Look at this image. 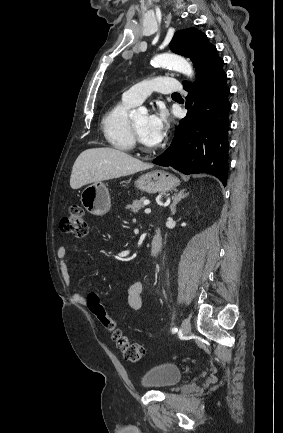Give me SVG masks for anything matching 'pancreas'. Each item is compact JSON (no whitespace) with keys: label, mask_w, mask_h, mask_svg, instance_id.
<instances>
[{"label":"pancreas","mask_w":283,"mask_h":433,"mask_svg":"<svg viewBox=\"0 0 283 433\" xmlns=\"http://www.w3.org/2000/svg\"><path fill=\"white\" fill-rule=\"evenodd\" d=\"M144 200H148L146 196H142V198H137V200H133L132 204H127L128 208H131L132 212H139L140 208H145L146 204H144Z\"/></svg>","instance_id":"obj_1"}]
</instances>
